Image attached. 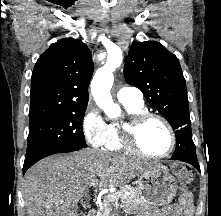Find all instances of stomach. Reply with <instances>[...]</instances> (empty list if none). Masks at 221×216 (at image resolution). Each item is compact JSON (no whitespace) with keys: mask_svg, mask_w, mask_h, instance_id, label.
<instances>
[{"mask_svg":"<svg viewBox=\"0 0 221 216\" xmlns=\"http://www.w3.org/2000/svg\"><path fill=\"white\" fill-rule=\"evenodd\" d=\"M177 188L175 178L168 169L160 165L138 176V194L144 205L154 207L168 205L175 197Z\"/></svg>","mask_w":221,"mask_h":216,"instance_id":"stomach-1","label":"stomach"}]
</instances>
